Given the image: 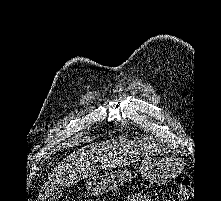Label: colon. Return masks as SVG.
<instances>
[{"mask_svg":"<svg viewBox=\"0 0 221 201\" xmlns=\"http://www.w3.org/2000/svg\"><path fill=\"white\" fill-rule=\"evenodd\" d=\"M178 198L180 201H189L192 198L191 183L188 179L182 180L178 190Z\"/></svg>","mask_w":221,"mask_h":201,"instance_id":"1","label":"colon"}]
</instances>
